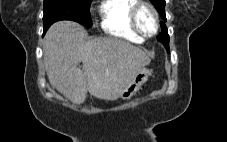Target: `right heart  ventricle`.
<instances>
[{
	"instance_id": "obj_1",
	"label": "right heart ventricle",
	"mask_w": 227,
	"mask_h": 142,
	"mask_svg": "<svg viewBox=\"0 0 227 142\" xmlns=\"http://www.w3.org/2000/svg\"><path fill=\"white\" fill-rule=\"evenodd\" d=\"M138 0H102L98 5L101 29L110 36L132 43H142L143 38L132 28L130 11Z\"/></svg>"
}]
</instances>
